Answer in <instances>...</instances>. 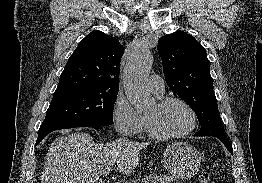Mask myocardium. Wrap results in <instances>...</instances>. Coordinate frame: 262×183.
<instances>
[{"mask_svg":"<svg viewBox=\"0 0 262 183\" xmlns=\"http://www.w3.org/2000/svg\"><path fill=\"white\" fill-rule=\"evenodd\" d=\"M172 103H178L181 104L182 106H184L190 113L191 115V126L184 132L178 133V134H164L162 132H160L156 126L154 125V123L152 122L151 119H149L148 117H146V126H147V130L149 132V134L159 140H173V139H179V138H183L188 136L189 134H191L197 127V114L196 111L194 110V108L185 100L178 98V97H165V98H161L158 102H157V106L161 109L167 107L168 105L172 104Z\"/></svg>","mask_w":262,"mask_h":183,"instance_id":"f54148a6","label":"myocardium"}]
</instances>
